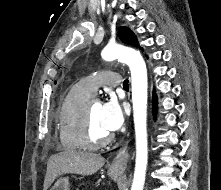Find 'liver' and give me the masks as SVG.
<instances>
[{
    "mask_svg": "<svg viewBox=\"0 0 221 190\" xmlns=\"http://www.w3.org/2000/svg\"><path fill=\"white\" fill-rule=\"evenodd\" d=\"M104 163V157L92 152L68 149L56 153L48 159L43 190H47L60 175L68 173L92 175L96 173Z\"/></svg>",
    "mask_w": 221,
    "mask_h": 190,
    "instance_id": "obj_1",
    "label": "liver"
}]
</instances>
